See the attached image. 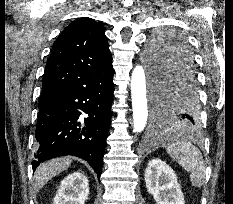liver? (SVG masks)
Segmentation results:
<instances>
[{"mask_svg": "<svg viewBox=\"0 0 233 204\" xmlns=\"http://www.w3.org/2000/svg\"><path fill=\"white\" fill-rule=\"evenodd\" d=\"M71 162L69 157H59L41 164L34 174V193H37L52 177L67 169Z\"/></svg>", "mask_w": 233, "mask_h": 204, "instance_id": "1", "label": "liver"}]
</instances>
